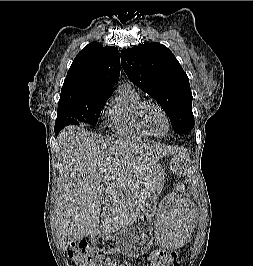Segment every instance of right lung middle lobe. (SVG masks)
<instances>
[{
	"mask_svg": "<svg viewBox=\"0 0 253 266\" xmlns=\"http://www.w3.org/2000/svg\"><path fill=\"white\" fill-rule=\"evenodd\" d=\"M111 94L101 95L84 102L59 103L55 127L78 125L79 121L96 125L105 102Z\"/></svg>",
	"mask_w": 253,
	"mask_h": 266,
	"instance_id": "right-lung-middle-lobe-1",
	"label": "right lung middle lobe"
}]
</instances>
